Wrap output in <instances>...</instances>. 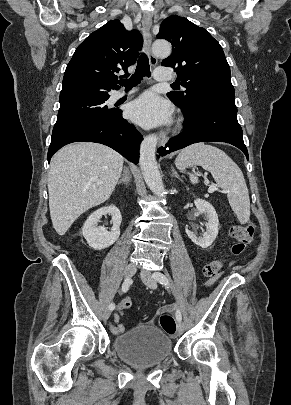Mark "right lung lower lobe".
Wrapping results in <instances>:
<instances>
[{
	"label": "right lung lower lobe",
	"instance_id": "right-lung-lower-lobe-1",
	"mask_svg": "<svg viewBox=\"0 0 291 405\" xmlns=\"http://www.w3.org/2000/svg\"><path fill=\"white\" fill-rule=\"evenodd\" d=\"M142 135L122 118V111L101 119L76 123L53 132L48 161L61 147L72 142H96L107 145L137 164Z\"/></svg>",
	"mask_w": 291,
	"mask_h": 405
}]
</instances>
